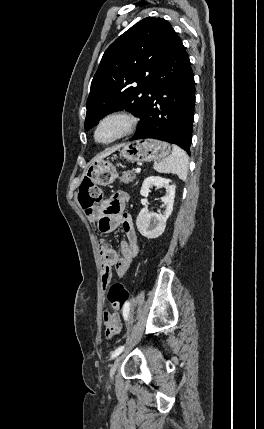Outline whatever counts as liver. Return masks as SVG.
<instances>
[{
    "label": "liver",
    "mask_w": 264,
    "mask_h": 429,
    "mask_svg": "<svg viewBox=\"0 0 264 429\" xmlns=\"http://www.w3.org/2000/svg\"><path fill=\"white\" fill-rule=\"evenodd\" d=\"M122 145H118V146H114L112 148H109L107 150H105L103 153L99 154L98 156H96L93 161H98L101 159H104L105 157L109 156L110 154H112L113 152H115L117 149H119Z\"/></svg>",
    "instance_id": "1"
}]
</instances>
